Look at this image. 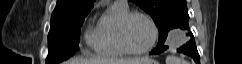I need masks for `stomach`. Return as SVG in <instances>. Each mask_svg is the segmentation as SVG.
<instances>
[{
  "mask_svg": "<svg viewBox=\"0 0 242 64\" xmlns=\"http://www.w3.org/2000/svg\"><path fill=\"white\" fill-rule=\"evenodd\" d=\"M142 64H158L156 61L149 59V61Z\"/></svg>",
  "mask_w": 242,
  "mask_h": 64,
  "instance_id": "obj_1",
  "label": "stomach"
}]
</instances>
